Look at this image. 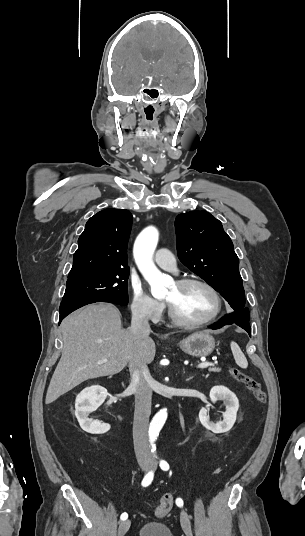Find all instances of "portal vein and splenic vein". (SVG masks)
Segmentation results:
<instances>
[{
  "instance_id": "1",
  "label": "portal vein and splenic vein",
  "mask_w": 305,
  "mask_h": 536,
  "mask_svg": "<svg viewBox=\"0 0 305 536\" xmlns=\"http://www.w3.org/2000/svg\"><path fill=\"white\" fill-rule=\"evenodd\" d=\"M105 362H108V360H99L97 364H105ZM208 366H212L210 362H203V364H198V368H208Z\"/></svg>"
}]
</instances>
